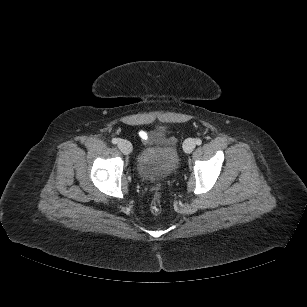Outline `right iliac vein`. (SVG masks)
Masks as SVG:
<instances>
[{
  "label": "right iliac vein",
  "mask_w": 307,
  "mask_h": 307,
  "mask_svg": "<svg viewBox=\"0 0 307 307\" xmlns=\"http://www.w3.org/2000/svg\"><path fill=\"white\" fill-rule=\"evenodd\" d=\"M118 148L125 155L130 154L132 151V145L127 140H120L118 142Z\"/></svg>",
  "instance_id": "right-iliac-vein-1"
}]
</instances>
